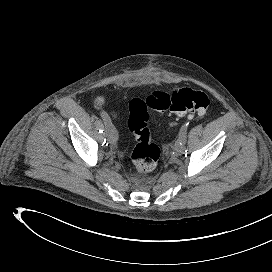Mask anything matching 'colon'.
<instances>
[{"instance_id":"5ec220e1","label":"colon","mask_w":272,"mask_h":272,"mask_svg":"<svg viewBox=\"0 0 272 272\" xmlns=\"http://www.w3.org/2000/svg\"><path fill=\"white\" fill-rule=\"evenodd\" d=\"M209 105L210 100L205 92L189 87L181 88L172 94L155 91L145 99H131L128 105V127L136 140L131 157L137 171H153L160 157V149L152 142L148 128L151 110L168 111L177 115H205Z\"/></svg>"}]
</instances>
